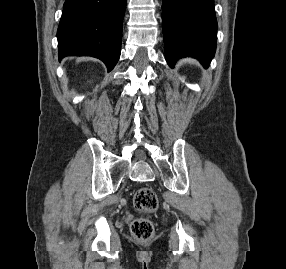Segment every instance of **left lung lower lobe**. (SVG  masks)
Instances as JSON below:
<instances>
[{
  "instance_id": "1",
  "label": "left lung lower lobe",
  "mask_w": 286,
  "mask_h": 269,
  "mask_svg": "<svg viewBox=\"0 0 286 269\" xmlns=\"http://www.w3.org/2000/svg\"><path fill=\"white\" fill-rule=\"evenodd\" d=\"M162 29L171 67L187 56L209 66L217 40L214 0H163Z\"/></svg>"
}]
</instances>
